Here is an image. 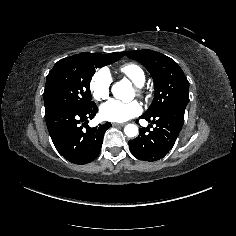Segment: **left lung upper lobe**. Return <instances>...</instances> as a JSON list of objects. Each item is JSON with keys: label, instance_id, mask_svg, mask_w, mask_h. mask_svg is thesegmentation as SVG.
I'll return each mask as SVG.
<instances>
[{"label": "left lung upper lobe", "instance_id": "1", "mask_svg": "<svg viewBox=\"0 0 236 236\" xmlns=\"http://www.w3.org/2000/svg\"><path fill=\"white\" fill-rule=\"evenodd\" d=\"M125 54L143 64L154 81L155 96L143 115H153L174 104H188L189 82L173 59L148 49L125 51Z\"/></svg>", "mask_w": 236, "mask_h": 236}]
</instances>
